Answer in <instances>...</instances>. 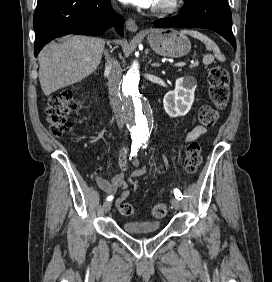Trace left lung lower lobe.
<instances>
[{
	"label": "left lung lower lobe",
	"instance_id": "1",
	"mask_svg": "<svg viewBox=\"0 0 272 282\" xmlns=\"http://www.w3.org/2000/svg\"><path fill=\"white\" fill-rule=\"evenodd\" d=\"M183 11L154 22L158 28H205L213 30L228 40L236 50L232 33V16L228 0H184Z\"/></svg>",
	"mask_w": 272,
	"mask_h": 282
}]
</instances>
